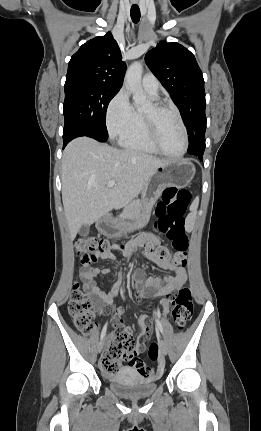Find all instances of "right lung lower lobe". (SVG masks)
I'll list each match as a JSON object with an SVG mask.
<instances>
[{
    "mask_svg": "<svg viewBox=\"0 0 261 431\" xmlns=\"http://www.w3.org/2000/svg\"><path fill=\"white\" fill-rule=\"evenodd\" d=\"M66 133H68L69 136L68 137L63 136V148L68 144V142L76 138V136L78 135L75 128L64 129L63 134H66Z\"/></svg>",
    "mask_w": 261,
    "mask_h": 431,
    "instance_id": "right-lung-lower-lobe-1",
    "label": "right lung lower lobe"
}]
</instances>
